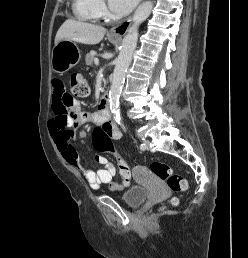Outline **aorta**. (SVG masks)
I'll return each mask as SVG.
<instances>
[{"instance_id":"aorta-1","label":"aorta","mask_w":248,"mask_h":258,"mask_svg":"<svg viewBox=\"0 0 248 258\" xmlns=\"http://www.w3.org/2000/svg\"><path fill=\"white\" fill-rule=\"evenodd\" d=\"M153 9V2L150 0L142 3L135 11L132 26L125 35L120 53L116 60L111 87L109 91L110 110L115 120L120 123L119 98L125 80L126 71L132 61L133 52L137 46L138 29L150 15Z\"/></svg>"}]
</instances>
